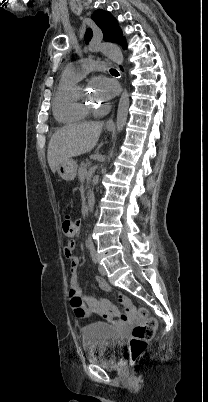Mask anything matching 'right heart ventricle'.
Listing matches in <instances>:
<instances>
[{
	"instance_id": "e07e8e85",
	"label": "right heart ventricle",
	"mask_w": 208,
	"mask_h": 402,
	"mask_svg": "<svg viewBox=\"0 0 208 402\" xmlns=\"http://www.w3.org/2000/svg\"><path fill=\"white\" fill-rule=\"evenodd\" d=\"M77 83V79L64 72L53 98L54 118L64 126H80L88 120V113L80 111L74 104V94L78 88Z\"/></svg>"
}]
</instances>
